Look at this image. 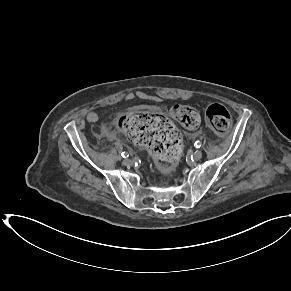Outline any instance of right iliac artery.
<instances>
[{"mask_svg": "<svg viewBox=\"0 0 291 291\" xmlns=\"http://www.w3.org/2000/svg\"><path fill=\"white\" fill-rule=\"evenodd\" d=\"M121 155L123 158H127L129 156L127 152H122Z\"/></svg>", "mask_w": 291, "mask_h": 291, "instance_id": "82829eb1", "label": "right iliac artery"}]
</instances>
